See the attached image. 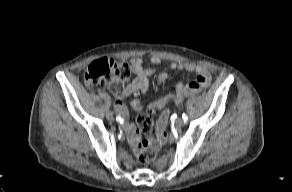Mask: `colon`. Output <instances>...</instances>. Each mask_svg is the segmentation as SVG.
<instances>
[{"label": "colon", "mask_w": 292, "mask_h": 192, "mask_svg": "<svg viewBox=\"0 0 292 192\" xmlns=\"http://www.w3.org/2000/svg\"><path fill=\"white\" fill-rule=\"evenodd\" d=\"M129 75L130 68L127 64L110 58H101L87 67L84 79L89 86H119L128 79ZM152 122L153 117L150 111L139 113L137 124L146 135L143 148L139 152V161L144 165L151 164L157 157V148L153 143V136L149 134Z\"/></svg>", "instance_id": "5ec220e1"}]
</instances>
